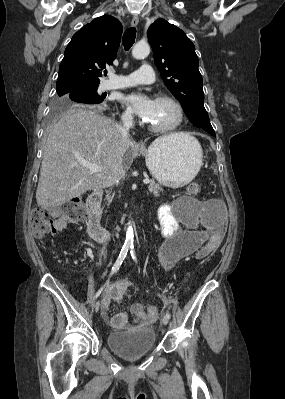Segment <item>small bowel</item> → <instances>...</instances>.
<instances>
[{"mask_svg":"<svg viewBox=\"0 0 285 399\" xmlns=\"http://www.w3.org/2000/svg\"><path fill=\"white\" fill-rule=\"evenodd\" d=\"M194 201V200H193ZM183 220L171 211L169 204H163L157 211L160 232L165 238L158 250V261L165 270H170L181 258L196 253L203 256L200 248L210 238L221 239L224 235L225 211L218 199L207 201L204 205H190L183 211ZM132 281L117 278L106 289L101 308L102 319L112 328L129 330L128 315L124 311L110 315L111 304H121L128 297ZM142 323L145 320L141 321Z\"/></svg>","mask_w":285,"mask_h":399,"instance_id":"1","label":"small bowel"}]
</instances>
